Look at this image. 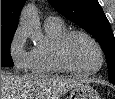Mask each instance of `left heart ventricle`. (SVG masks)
I'll return each mask as SVG.
<instances>
[{
    "label": "left heart ventricle",
    "mask_w": 115,
    "mask_h": 99,
    "mask_svg": "<svg viewBox=\"0 0 115 99\" xmlns=\"http://www.w3.org/2000/svg\"><path fill=\"white\" fill-rule=\"evenodd\" d=\"M67 58L70 63L83 71L96 68L99 56L95 46L83 36H74L66 47Z\"/></svg>",
    "instance_id": "b2bd125f"
}]
</instances>
